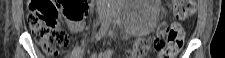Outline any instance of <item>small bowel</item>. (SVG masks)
<instances>
[{
	"instance_id": "obj_1",
	"label": "small bowel",
	"mask_w": 225,
	"mask_h": 58,
	"mask_svg": "<svg viewBox=\"0 0 225 58\" xmlns=\"http://www.w3.org/2000/svg\"><path fill=\"white\" fill-rule=\"evenodd\" d=\"M67 25H68L70 31H72L74 33L81 32L85 28V22L83 20H79V21L67 20ZM131 32L134 34H142L136 28H132ZM143 42H144V38L140 37L137 43H143ZM115 51H116L115 48H110L103 52H100L98 55H92V58H111L113 56V54L115 53Z\"/></svg>"
}]
</instances>
